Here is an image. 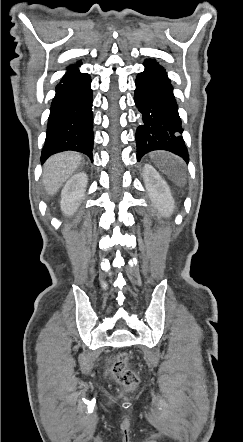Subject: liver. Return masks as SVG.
<instances>
[{"label":"liver","instance_id":"6515ba94","mask_svg":"<svg viewBox=\"0 0 243 442\" xmlns=\"http://www.w3.org/2000/svg\"><path fill=\"white\" fill-rule=\"evenodd\" d=\"M82 161V156L73 151L51 156L44 164L43 185L48 195H54L70 178Z\"/></svg>","mask_w":243,"mask_h":442}]
</instances>
